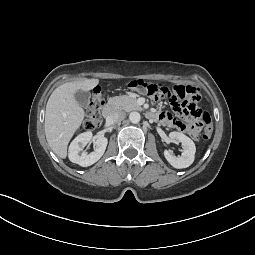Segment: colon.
Here are the masks:
<instances>
[{"label": "colon", "instance_id": "colon-1", "mask_svg": "<svg viewBox=\"0 0 255 255\" xmlns=\"http://www.w3.org/2000/svg\"><path fill=\"white\" fill-rule=\"evenodd\" d=\"M128 88L146 94L155 100L168 97L173 102V105L179 114L189 118L198 119L204 126L202 135L199 133L191 134L195 140H207L211 137L213 132L211 119L208 113L198 106L200 95L196 88L183 85H175L172 88H168L166 86L148 83L139 78L130 81ZM103 106L104 98L101 89L97 87L94 90L92 100L84 119V126L87 129H95L101 125L103 122Z\"/></svg>", "mask_w": 255, "mask_h": 255}]
</instances>
